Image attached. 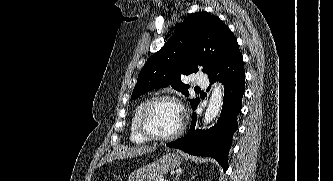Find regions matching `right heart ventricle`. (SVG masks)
Listing matches in <instances>:
<instances>
[{"instance_id": "e07e8e85", "label": "right heart ventricle", "mask_w": 333, "mask_h": 181, "mask_svg": "<svg viewBox=\"0 0 333 181\" xmlns=\"http://www.w3.org/2000/svg\"><path fill=\"white\" fill-rule=\"evenodd\" d=\"M144 102L140 103L134 110L130 123V140L134 143L143 144L148 140L143 137L137 129V116Z\"/></svg>"}]
</instances>
